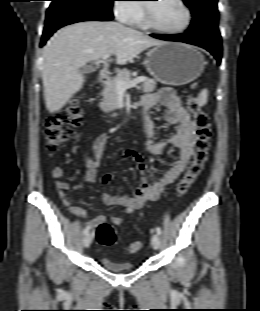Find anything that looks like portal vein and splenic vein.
<instances>
[{"label":"portal vein and splenic vein","instance_id":"portal-vein-and-splenic-vein-1","mask_svg":"<svg viewBox=\"0 0 260 311\" xmlns=\"http://www.w3.org/2000/svg\"><path fill=\"white\" fill-rule=\"evenodd\" d=\"M109 57H110V55L106 54L100 60H98V62H104ZM145 80H146V78L143 76L137 77V78L130 80V81L119 80V81H117V89H118V91H125L129 88L135 87L137 84L144 82Z\"/></svg>","mask_w":260,"mask_h":311}]
</instances>
